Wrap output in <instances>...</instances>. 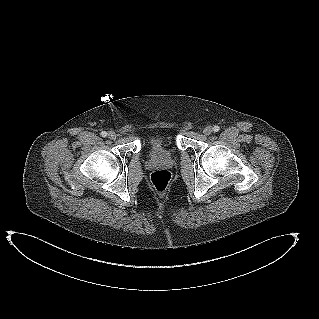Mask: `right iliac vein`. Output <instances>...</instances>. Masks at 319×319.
<instances>
[{
    "instance_id": "right-iliac-vein-1",
    "label": "right iliac vein",
    "mask_w": 319,
    "mask_h": 319,
    "mask_svg": "<svg viewBox=\"0 0 319 319\" xmlns=\"http://www.w3.org/2000/svg\"><path fill=\"white\" fill-rule=\"evenodd\" d=\"M117 137V134L114 132V131H110L108 133V138L112 139V140H115Z\"/></svg>"
}]
</instances>
